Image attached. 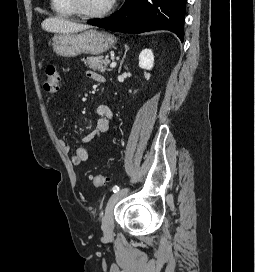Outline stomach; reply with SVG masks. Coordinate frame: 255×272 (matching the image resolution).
Instances as JSON below:
<instances>
[{"label":"stomach","instance_id":"obj_1","mask_svg":"<svg viewBox=\"0 0 255 272\" xmlns=\"http://www.w3.org/2000/svg\"><path fill=\"white\" fill-rule=\"evenodd\" d=\"M114 38L97 30H86L81 33H62L53 43V51L63 57H75L80 54L99 55L112 47Z\"/></svg>","mask_w":255,"mask_h":272}]
</instances>
